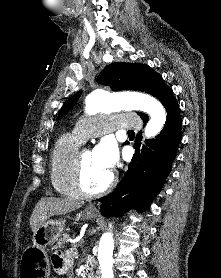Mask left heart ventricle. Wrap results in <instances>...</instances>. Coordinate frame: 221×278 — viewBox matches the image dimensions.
<instances>
[{
	"label": "left heart ventricle",
	"instance_id": "1",
	"mask_svg": "<svg viewBox=\"0 0 221 278\" xmlns=\"http://www.w3.org/2000/svg\"><path fill=\"white\" fill-rule=\"evenodd\" d=\"M111 171L105 169L95 160L93 153L88 151L84 154L82 179L85 187L90 191L101 189L109 180Z\"/></svg>",
	"mask_w": 221,
	"mask_h": 278
}]
</instances>
